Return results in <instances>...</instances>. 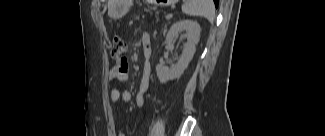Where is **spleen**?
I'll return each instance as SVG.
<instances>
[{
	"label": "spleen",
	"instance_id": "spleen-1",
	"mask_svg": "<svg viewBox=\"0 0 325 136\" xmlns=\"http://www.w3.org/2000/svg\"><path fill=\"white\" fill-rule=\"evenodd\" d=\"M182 11L186 15L200 16L213 23L215 7L212 0H188L182 5Z\"/></svg>",
	"mask_w": 325,
	"mask_h": 136
}]
</instances>
